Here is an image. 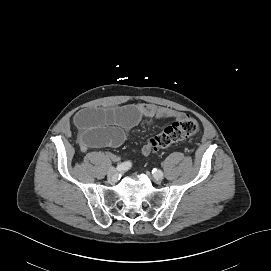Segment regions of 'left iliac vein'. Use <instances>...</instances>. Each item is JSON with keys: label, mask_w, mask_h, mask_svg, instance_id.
<instances>
[{"label": "left iliac vein", "mask_w": 271, "mask_h": 271, "mask_svg": "<svg viewBox=\"0 0 271 271\" xmlns=\"http://www.w3.org/2000/svg\"><path fill=\"white\" fill-rule=\"evenodd\" d=\"M163 176H153V180L156 182V183H160L161 180H162Z\"/></svg>", "instance_id": "1"}]
</instances>
